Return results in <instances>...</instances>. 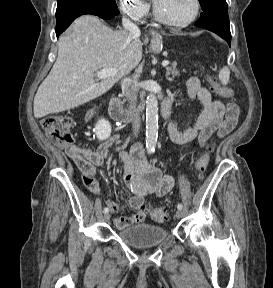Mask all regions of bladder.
<instances>
[{"label": "bladder", "instance_id": "obj_1", "mask_svg": "<svg viewBox=\"0 0 273 288\" xmlns=\"http://www.w3.org/2000/svg\"><path fill=\"white\" fill-rule=\"evenodd\" d=\"M118 238L129 246L145 248L163 243L168 238V232L160 226L137 224L123 228L119 231Z\"/></svg>", "mask_w": 273, "mask_h": 288}]
</instances>
